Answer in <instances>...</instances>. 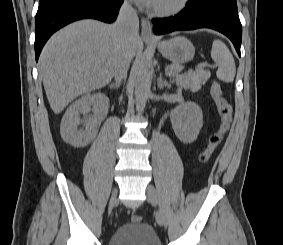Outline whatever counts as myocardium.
Returning <instances> with one entry per match:
<instances>
[{
	"instance_id": "obj_1",
	"label": "myocardium",
	"mask_w": 283,
	"mask_h": 245,
	"mask_svg": "<svg viewBox=\"0 0 283 245\" xmlns=\"http://www.w3.org/2000/svg\"><path fill=\"white\" fill-rule=\"evenodd\" d=\"M189 4L190 0H176L170 5H153L151 11L154 15L169 17L181 13L188 7Z\"/></svg>"
}]
</instances>
